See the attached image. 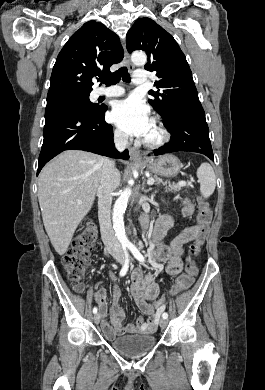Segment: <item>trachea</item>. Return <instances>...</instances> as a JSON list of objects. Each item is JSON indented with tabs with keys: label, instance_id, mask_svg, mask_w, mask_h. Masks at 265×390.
Wrapping results in <instances>:
<instances>
[{
	"label": "trachea",
	"instance_id": "1",
	"mask_svg": "<svg viewBox=\"0 0 265 390\" xmlns=\"http://www.w3.org/2000/svg\"><path fill=\"white\" fill-rule=\"evenodd\" d=\"M121 78L124 82L127 83L130 82L131 80L130 74L128 73L126 67L119 68L115 73H113L110 76L100 78V81L104 83L106 86H111L118 83Z\"/></svg>",
	"mask_w": 265,
	"mask_h": 390
}]
</instances>
